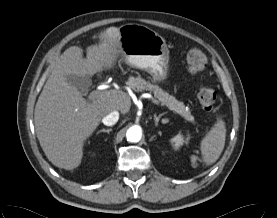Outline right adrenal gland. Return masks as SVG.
Returning a JSON list of instances; mask_svg holds the SVG:
<instances>
[{
	"label": "right adrenal gland",
	"instance_id": "obj_1",
	"mask_svg": "<svg viewBox=\"0 0 277 218\" xmlns=\"http://www.w3.org/2000/svg\"><path fill=\"white\" fill-rule=\"evenodd\" d=\"M112 131V128H109V129H101L99 130L97 133H101V132H107V133H110Z\"/></svg>",
	"mask_w": 277,
	"mask_h": 218
}]
</instances>
